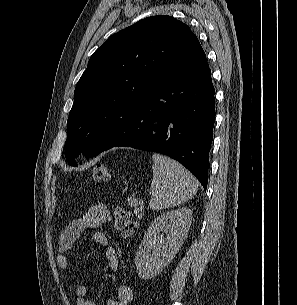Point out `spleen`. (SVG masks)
<instances>
[{
  "label": "spleen",
  "mask_w": 297,
  "mask_h": 305,
  "mask_svg": "<svg viewBox=\"0 0 297 305\" xmlns=\"http://www.w3.org/2000/svg\"><path fill=\"white\" fill-rule=\"evenodd\" d=\"M152 158L150 209L163 210L177 206L187 202L196 194L197 180L188 170L161 154H153Z\"/></svg>",
  "instance_id": "spleen-1"
}]
</instances>
